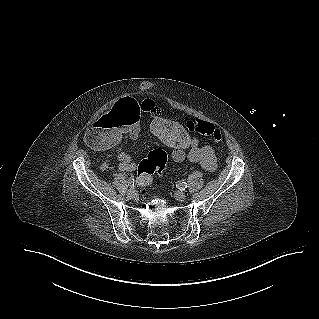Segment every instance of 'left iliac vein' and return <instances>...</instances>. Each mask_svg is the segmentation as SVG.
Instances as JSON below:
<instances>
[{
    "mask_svg": "<svg viewBox=\"0 0 319 319\" xmlns=\"http://www.w3.org/2000/svg\"><path fill=\"white\" fill-rule=\"evenodd\" d=\"M174 197H175V199L178 200V201H184V200L186 199V195H185V193L182 192V191H176V192L174 193Z\"/></svg>",
    "mask_w": 319,
    "mask_h": 319,
    "instance_id": "1",
    "label": "left iliac vein"
}]
</instances>
